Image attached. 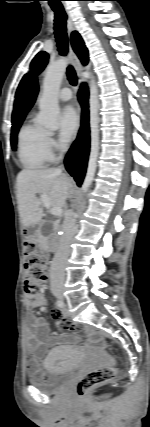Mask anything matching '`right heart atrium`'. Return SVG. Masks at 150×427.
<instances>
[{
    "instance_id": "1",
    "label": "right heart atrium",
    "mask_w": 150,
    "mask_h": 427,
    "mask_svg": "<svg viewBox=\"0 0 150 427\" xmlns=\"http://www.w3.org/2000/svg\"><path fill=\"white\" fill-rule=\"evenodd\" d=\"M46 145L51 155L58 150V144L50 133L47 134Z\"/></svg>"
}]
</instances>
